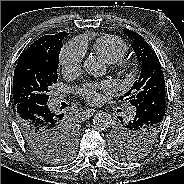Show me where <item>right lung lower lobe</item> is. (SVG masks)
I'll list each match as a JSON object with an SVG mask.
<instances>
[{"mask_svg": "<svg viewBox=\"0 0 184 184\" xmlns=\"http://www.w3.org/2000/svg\"><path fill=\"white\" fill-rule=\"evenodd\" d=\"M15 112L20 132L34 153L60 142L63 129L69 126L64 113L55 114L47 104L23 102L15 105Z\"/></svg>", "mask_w": 184, "mask_h": 184, "instance_id": "1", "label": "right lung lower lobe"}]
</instances>
